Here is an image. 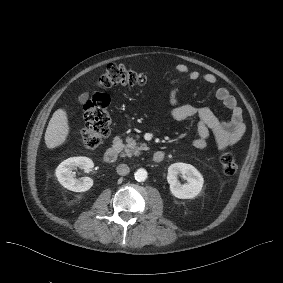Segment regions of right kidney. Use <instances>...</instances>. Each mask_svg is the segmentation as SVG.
<instances>
[{
    "mask_svg": "<svg viewBox=\"0 0 283 283\" xmlns=\"http://www.w3.org/2000/svg\"><path fill=\"white\" fill-rule=\"evenodd\" d=\"M76 167L89 172L94 167V163L88 157H71L60 163L56 168L55 175L64 188L74 192H85L92 187L93 180L89 177L73 178V169Z\"/></svg>",
    "mask_w": 283,
    "mask_h": 283,
    "instance_id": "1",
    "label": "right kidney"
}]
</instances>
